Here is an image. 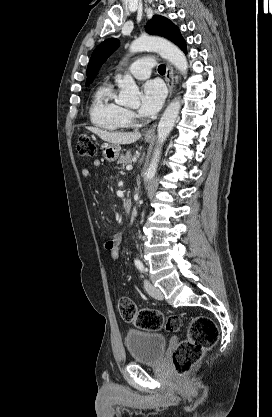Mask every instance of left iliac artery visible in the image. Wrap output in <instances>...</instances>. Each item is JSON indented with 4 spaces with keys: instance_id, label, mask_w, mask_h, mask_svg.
<instances>
[{
    "instance_id": "left-iliac-artery-1",
    "label": "left iliac artery",
    "mask_w": 272,
    "mask_h": 417,
    "mask_svg": "<svg viewBox=\"0 0 272 417\" xmlns=\"http://www.w3.org/2000/svg\"><path fill=\"white\" fill-rule=\"evenodd\" d=\"M135 265L140 271H142V272L146 271L143 263L140 260H136Z\"/></svg>"
}]
</instances>
